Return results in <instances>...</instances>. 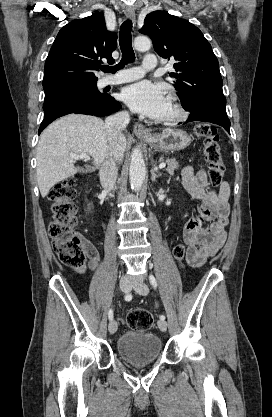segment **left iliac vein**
<instances>
[{
	"label": "left iliac vein",
	"instance_id": "4c4485c4",
	"mask_svg": "<svg viewBox=\"0 0 272 417\" xmlns=\"http://www.w3.org/2000/svg\"><path fill=\"white\" fill-rule=\"evenodd\" d=\"M133 289L140 295H147L149 292L148 286L143 281L133 282ZM158 327L161 331L165 332L167 330V322L165 320L158 321Z\"/></svg>",
	"mask_w": 272,
	"mask_h": 417
}]
</instances>
